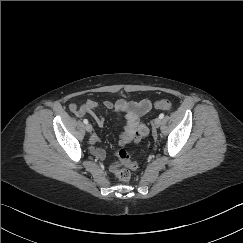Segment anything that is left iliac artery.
Instances as JSON below:
<instances>
[{"label": "left iliac artery", "instance_id": "left-iliac-artery-1", "mask_svg": "<svg viewBox=\"0 0 243 243\" xmlns=\"http://www.w3.org/2000/svg\"><path fill=\"white\" fill-rule=\"evenodd\" d=\"M159 118H160V119H163V118H164V114L161 113V114L159 115Z\"/></svg>", "mask_w": 243, "mask_h": 243}]
</instances>
